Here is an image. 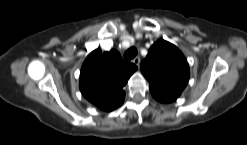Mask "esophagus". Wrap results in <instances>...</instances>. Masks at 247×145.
<instances>
[{
    "instance_id": "1",
    "label": "esophagus",
    "mask_w": 247,
    "mask_h": 145,
    "mask_svg": "<svg viewBox=\"0 0 247 145\" xmlns=\"http://www.w3.org/2000/svg\"><path fill=\"white\" fill-rule=\"evenodd\" d=\"M132 62H133L135 65L139 66V64H140V58H139V57H135V58L132 60Z\"/></svg>"
}]
</instances>
